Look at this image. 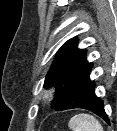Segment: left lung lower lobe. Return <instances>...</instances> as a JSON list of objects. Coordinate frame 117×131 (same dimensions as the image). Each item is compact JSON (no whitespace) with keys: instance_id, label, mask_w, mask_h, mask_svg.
Returning <instances> with one entry per match:
<instances>
[{"instance_id":"left-lung-lower-lobe-1","label":"left lung lower lobe","mask_w":117,"mask_h":131,"mask_svg":"<svg viewBox=\"0 0 117 131\" xmlns=\"http://www.w3.org/2000/svg\"><path fill=\"white\" fill-rule=\"evenodd\" d=\"M69 95L72 102L67 106V109H86L109 123V118L104 111L103 101L95 95L94 83L92 81L89 80L88 84L83 88L72 90Z\"/></svg>"}]
</instances>
